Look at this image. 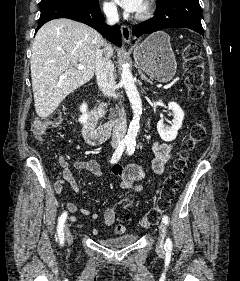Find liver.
Segmentation results:
<instances>
[{
    "mask_svg": "<svg viewBox=\"0 0 240 281\" xmlns=\"http://www.w3.org/2000/svg\"><path fill=\"white\" fill-rule=\"evenodd\" d=\"M113 48L91 27L70 19L47 22L37 32L31 56V78L37 115H51L67 95L90 81L97 52ZM82 65L83 70H78Z\"/></svg>",
    "mask_w": 240,
    "mask_h": 281,
    "instance_id": "6515ba94",
    "label": "liver"
}]
</instances>
